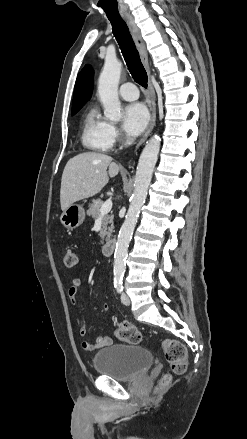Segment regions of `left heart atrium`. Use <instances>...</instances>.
<instances>
[{"instance_id":"1","label":"left heart atrium","mask_w":247,"mask_h":439,"mask_svg":"<svg viewBox=\"0 0 247 439\" xmlns=\"http://www.w3.org/2000/svg\"><path fill=\"white\" fill-rule=\"evenodd\" d=\"M149 122V113L141 103H132L125 107L122 127L129 136H138Z\"/></svg>"}]
</instances>
